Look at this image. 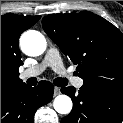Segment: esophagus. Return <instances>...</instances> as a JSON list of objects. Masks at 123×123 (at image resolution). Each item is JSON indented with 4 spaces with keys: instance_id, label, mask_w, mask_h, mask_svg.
I'll use <instances>...</instances> for the list:
<instances>
[{
    "instance_id": "1",
    "label": "esophagus",
    "mask_w": 123,
    "mask_h": 123,
    "mask_svg": "<svg viewBox=\"0 0 123 123\" xmlns=\"http://www.w3.org/2000/svg\"><path fill=\"white\" fill-rule=\"evenodd\" d=\"M60 93H61L60 88H59V87H55V88H54V96H57V95H59Z\"/></svg>"
}]
</instances>
